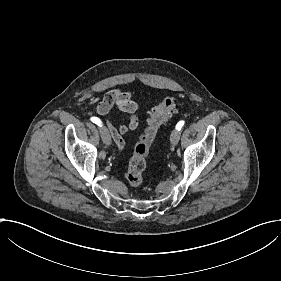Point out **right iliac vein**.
I'll list each match as a JSON object with an SVG mask.
<instances>
[{
    "instance_id": "obj_1",
    "label": "right iliac vein",
    "mask_w": 281,
    "mask_h": 281,
    "mask_svg": "<svg viewBox=\"0 0 281 281\" xmlns=\"http://www.w3.org/2000/svg\"><path fill=\"white\" fill-rule=\"evenodd\" d=\"M99 129H101L100 133L102 135L101 136L102 141H104L105 145H107V146L110 145L111 138L108 134L109 133L108 129H106V127H104V124Z\"/></svg>"
}]
</instances>
